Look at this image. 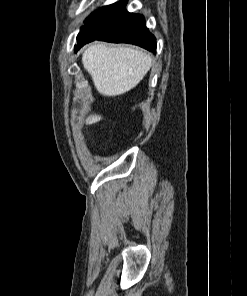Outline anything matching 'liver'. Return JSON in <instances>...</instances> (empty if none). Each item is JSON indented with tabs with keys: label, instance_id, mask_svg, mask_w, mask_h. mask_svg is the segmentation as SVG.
Here are the masks:
<instances>
[{
	"label": "liver",
	"instance_id": "obj_1",
	"mask_svg": "<svg viewBox=\"0 0 247 296\" xmlns=\"http://www.w3.org/2000/svg\"><path fill=\"white\" fill-rule=\"evenodd\" d=\"M82 64L91 75L97 91L104 96H117L138 85L152 65L149 54L130 47H108L97 43L82 55ZM100 115H90L86 124L100 121Z\"/></svg>",
	"mask_w": 247,
	"mask_h": 296
}]
</instances>
